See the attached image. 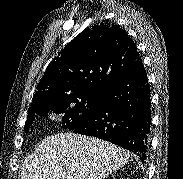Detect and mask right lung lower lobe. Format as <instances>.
<instances>
[{
    "label": "right lung lower lobe",
    "instance_id": "98d812e1",
    "mask_svg": "<svg viewBox=\"0 0 183 179\" xmlns=\"http://www.w3.org/2000/svg\"><path fill=\"white\" fill-rule=\"evenodd\" d=\"M146 70L108 85L99 94V108L74 133L98 137L135 152L144 161L148 154L151 128V99Z\"/></svg>",
    "mask_w": 183,
    "mask_h": 179
}]
</instances>
